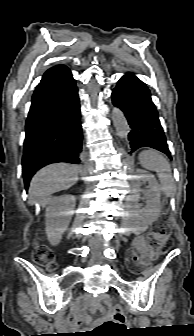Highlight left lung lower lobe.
<instances>
[{
  "label": "left lung lower lobe",
  "mask_w": 194,
  "mask_h": 336,
  "mask_svg": "<svg viewBox=\"0 0 194 336\" xmlns=\"http://www.w3.org/2000/svg\"><path fill=\"white\" fill-rule=\"evenodd\" d=\"M112 101L130 125L128 140L131 152L151 147L172 159L150 91L140 79L131 73L122 76L112 92Z\"/></svg>",
  "instance_id": "0a47b994"
}]
</instances>
